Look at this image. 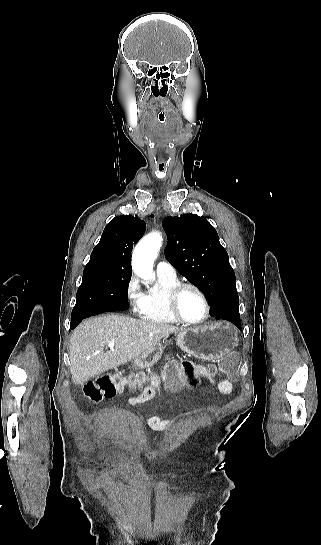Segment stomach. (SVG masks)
Listing matches in <instances>:
<instances>
[{
  "label": "stomach",
  "instance_id": "stomach-1",
  "mask_svg": "<svg viewBox=\"0 0 321 545\" xmlns=\"http://www.w3.org/2000/svg\"><path fill=\"white\" fill-rule=\"evenodd\" d=\"M175 341L177 347L184 353L196 359H205V361H217L220 357L231 353L239 343L236 327L227 321H216L196 329H184L176 333ZM163 349L164 345L158 341L154 347L132 361L131 369L133 371L150 369L161 359Z\"/></svg>",
  "mask_w": 321,
  "mask_h": 545
}]
</instances>
